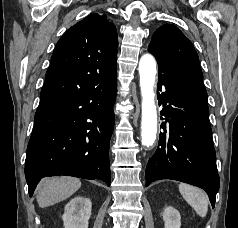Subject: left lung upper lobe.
Here are the masks:
<instances>
[{
    "label": "left lung upper lobe",
    "instance_id": "1",
    "mask_svg": "<svg viewBox=\"0 0 238 228\" xmlns=\"http://www.w3.org/2000/svg\"><path fill=\"white\" fill-rule=\"evenodd\" d=\"M148 51L160 69L207 97L199 58L189 39L174 25L165 24L153 34Z\"/></svg>",
    "mask_w": 238,
    "mask_h": 228
}]
</instances>
